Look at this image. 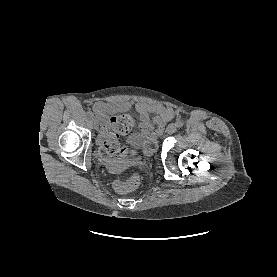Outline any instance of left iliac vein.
<instances>
[{
    "instance_id": "4c4485c4",
    "label": "left iliac vein",
    "mask_w": 277,
    "mask_h": 277,
    "mask_svg": "<svg viewBox=\"0 0 277 277\" xmlns=\"http://www.w3.org/2000/svg\"><path fill=\"white\" fill-rule=\"evenodd\" d=\"M177 130V125L175 123H171L168 127H167V131L170 134L175 133Z\"/></svg>"
}]
</instances>
